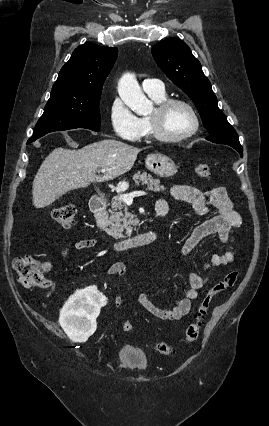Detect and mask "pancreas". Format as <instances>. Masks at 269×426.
I'll use <instances>...</instances> for the list:
<instances>
[{
	"label": "pancreas",
	"instance_id": "cf45deb5",
	"mask_svg": "<svg viewBox=\"0 0 269 426\" xmlns=\"http://www.w3.org/2000/svg\"><path fill=\"white\" fill-rule=\"evenodd\" d=\"M133 180L136 183L147 185V190L154 192H160L165 190L164 186L160 185L159 179H153L150 174L146 172L136 173L133 175ZM109 225L110 228L107 230L108 234L115 238H123L122 232L126 230V234L129 236L133 231V227L137 225V220L133 214L128 212L126 204L118 199L114 198L111 201V208L109 209Z\"/></svg>",
	"mask_w": 269,
	"mask_h": 426
}]
</instances>
